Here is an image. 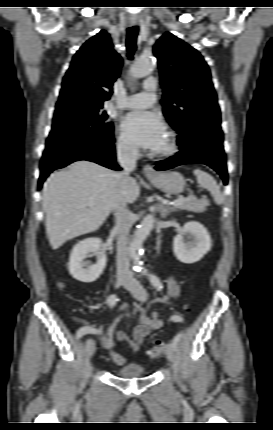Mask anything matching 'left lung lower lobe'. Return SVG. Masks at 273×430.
I'll use <instances>...</instances> for the list:
<instances>
[{"label":"left lung lower lobe","instance_id":"left-lung-lower-lobe-1","mask_svg":"<svg viewBox=\"0 0 273 430\" xmlns=\"http://www.w3.org/2000/svg\"><path fill=\"white\" fill-rule=\"evenodd\" d=\"M180 151L158 164L156 170H167L182 164H206L217 171L227 184V167L223 150V132L217 120H202L178 135Z\"/></svg>","mask_w":273,"mask_h":430}]
</instances>
